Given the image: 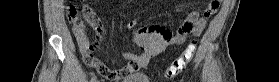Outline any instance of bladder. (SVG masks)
<instances>
[{
	"label": "bladder",
	"instance_id": "1",
	"mask_svg": "<svg viewBox=\"0 0 279 82\" xmlns=\"http://www.w3.org/2000/svg\"><path fill=\"white\" fill-rule=\"evenodd\" d=\"M116 82H149V80L145 73H131Z\"/></svg>",
	"mask_w": 279,
	"mask_h": 82
}]
</instances>
